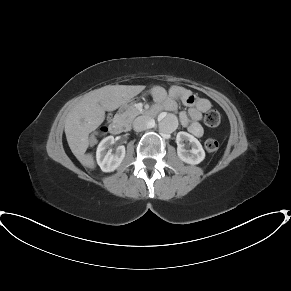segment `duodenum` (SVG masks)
<instances>
[{
  "label": "duodenum",
  "instance_id": "obj_1",
  "mask_svg": "<svg viewBox=\"0 0 291 291\" xmlns=\"http://www.w3.org/2000/svg\"><path fill=\"white\" fill-rule=\"evenodd\" d=\"M156 113L157 111L155 108H151L150 110L146 112V114L149 116H154ZM108 128L110 132L114 135L121 134L126 131L125 124L120 119L114 120L112 123H110Z\"/></svg>",
  "mask_w": 291,
  "mask_h": 291
}]
</instances>
